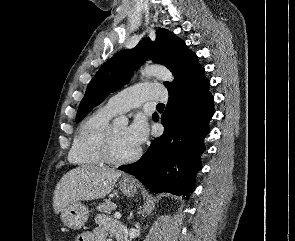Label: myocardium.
<instances>
[{"label": "myocardium", "mask_w": 295, "mask_h": 241, "mask_svg": "<svg viewBox=\"0 0 295 241\" xmlns=\"http://www.w3.org/2000/svg\"><path fill=\"white\" fill-rule=\"evenodd\" d=\"M113 143H114V125L110 124L108 129L105 132L103 140L100 145V155L104 162L111 165H123L136 161L141 155V148H138L137 151L128 156V157H117L113 152Z\"/></svg>", "instance_id": "obj_1"}]
</instances>
